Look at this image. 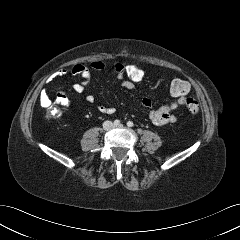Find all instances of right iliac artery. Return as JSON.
Wrapping results in <instances>:
<instances>
[{"label": "right iliac artery", "mask_w": 240, "mask_h": 240, "mask_svg": "<svg viewBox=\"0 0 240 240\" xmlns=\"http://www.w3.org/2000/svg\"><path fill=\"white\" fill-rule=\"evenodd\" d=\"M114 125H115V126L120 125V121H119V120H115V121H114Z\"/></svg>", "instance_id": "right-iliac-artery-1"}]
</instances>
